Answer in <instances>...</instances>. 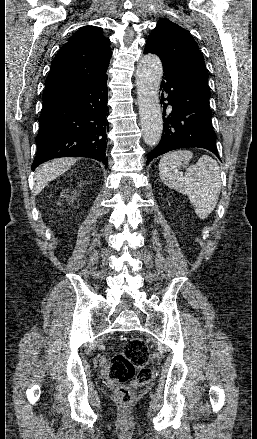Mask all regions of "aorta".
I'll use <instances>...</instances> for the list:
<instances>
[{"label": "aorta", "mask_w": 257, "mask_h": 439, "mask_svg": "<svg viewBox=\"0 0 257 439\" xmlns=\"http://www.w3.org/2000/svg\"><path fill=\"white\" fill-rule=\"evenodd\" d=\"M162 74V63L157 55L147 54L140 59L136 70L137 98L143 139L149 146L160 141L163 130L159 100Z\"/></svg>", "instance_id": "aorta-1"}]
</instances>
